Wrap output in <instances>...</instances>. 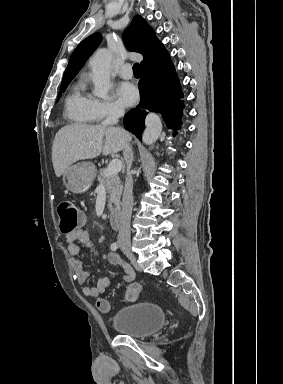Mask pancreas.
Masks as SVG:
<instances>
[{
  "mask_svg": "<svg viewBox=\"0 0 283 384\" xmlns=\"http://www.w3.org/2000/svg\"><path fill=\"white\" fill-rule=\"evenodd\" d=\"M105 170H99V174L97 176L98 182L103 184L107 190L108 196V210L110 214H116V212H120V198L123 190V186H121V182L118 176H105Z\"/></svg>",
  "mask_w": 283,
  "mask_h": 384,
  "instance_id": "obj_1",
  "label": "pancreas"
}]
</instances>
